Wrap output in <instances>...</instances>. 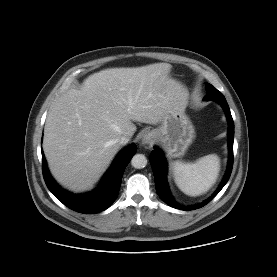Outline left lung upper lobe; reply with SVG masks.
I'll use <instances>...</instances> for the list:
<instances>
[{"mask_svg":"<svg viewBox=\"0 0 277 277\" xmlns=\"http://www.w3.org/2000/svg\"><path fill=\"white\" fill-rule=\"evenodd\" d=\"M206 90L207 93L204 97V100H225L223 94L220 91H218L215 87H213L211 84L206 83Z\"/></svg>","mask_w":277,"mask_h":277,"instance_id":"left-lung-upper-lobe-1","label":"left lung upper lobe"}]
</instances>
